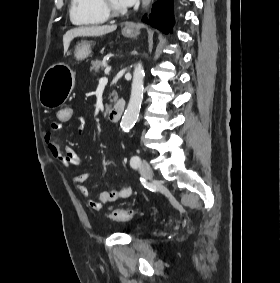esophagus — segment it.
Listing matches in <instances>:
<instances>
[{"label":"esophagus","mask_w":280,"mask_h":283,"mask_svg":"<svg viewBox=\"0 0 280 283\" xmlns=\"http://www.w3.org/2000/svg\"><path fill=\"white\" fill-rule=\"evenodd\" d=\"M150 1H151V0H142V7H143V9H146V8L149 6ZM127 27H128V28H133V26H131V25H129V26H127Z\"/></svg>","instance_id":"34e87169"}]
</instances>
